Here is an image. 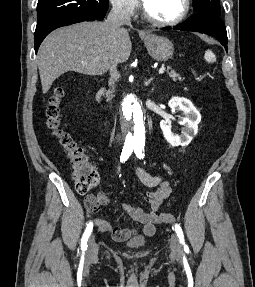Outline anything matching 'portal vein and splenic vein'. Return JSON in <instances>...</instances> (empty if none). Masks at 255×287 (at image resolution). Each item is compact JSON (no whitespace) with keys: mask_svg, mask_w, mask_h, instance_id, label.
<instances>
[{"mask_svg":"<svg viewBox=\"0 0 255 287\" xmlns=\"http://www.w3.org/2000/svg\"><path fill=\"white\" fill-rule=\"evenodd\" d=\"M164 70H165V68H160L159 74H164Z\"/></svg>","mask_w":255,"mask_h":287,"instance_id":"portal-vein-and-splenic-vein-1","label":"portal vein and splenic vein"}]
</instances>
